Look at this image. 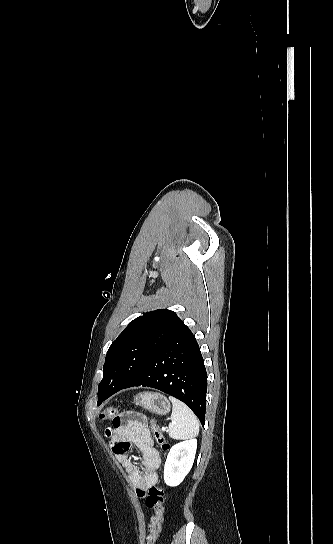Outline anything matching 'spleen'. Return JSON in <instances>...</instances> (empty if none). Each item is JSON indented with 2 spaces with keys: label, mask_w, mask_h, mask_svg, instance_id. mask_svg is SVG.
<instances>
[{
  "label": "spleen",
  "mask_w": 333,
  "mask_h": 544,
  "mask_svg": "<svg viewBox=\"0 0 333 544\" xmlns=\"http://www.w3.org/2000/svg\"><path fill=\"white\" fill-rule=\"evenodd\" d=\"M173 408L169 423V436L174 439H187L199 433V422L192 410L180 400L170 396Z\"/></svg>",
  "instance_id": "spleen-1"
}]
</instances>
